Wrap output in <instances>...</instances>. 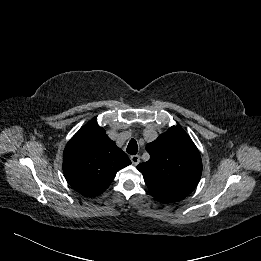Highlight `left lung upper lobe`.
<instances>
[{"label": "left lung upper lobe", "mask_w": 261, "mask_h": 261, "mask_svg": "<svg viewBox=\"0 0 261 261\" xmlns=\"http://www.w3.org/2000/svg\"><path fill=\"white\" fill-rule=\"evenodd\" d=\"M146 150L150 159L137 169L155 198L183 199L196 188L202 174V161L197 147L182 128H169L147 144Z\"/></svg>", "instance_id": "5c2ea615"}]
</instances>
